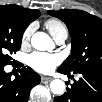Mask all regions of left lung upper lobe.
Returning <instances> with one entry per match:
<instances>
[{"instance_id": "5c2ea615", "label": "left lung upper lobe", "mask_w": 102, "mask_h": 102, "mask_svg": "<svg viewBox=\"0 0 102 102\" xmlns=\"http://www.w3.org/2000/svg\"><path fill=\"white\" fill-rule=\"evenodd\" d=\"M67 25L71 55L58 70L68 73L102 71V20L81 10L48 11Z\"/></svg>"}]
</instances>
